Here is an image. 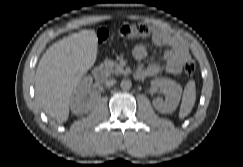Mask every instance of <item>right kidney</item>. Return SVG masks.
<instances>
[{
    "instance_id": "1",
    "label": "right kidney",
    "mask_w": 243,
    "mask_h": 167,
    "mask_svg": "<svg viewBox=\"0 0 243 167\" xmlns=\"http://www.w3.org/2000/svg\"><path fill=\"white\" fill-rule=\"evenodd\" d=\"M92 82V77L86 76L74 89L70 99V108L74 114L82 115L95 106L97 97L94 95L90 100L87 98L88 94L91 92Z\"/></svg>"
}]
</instances>
